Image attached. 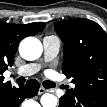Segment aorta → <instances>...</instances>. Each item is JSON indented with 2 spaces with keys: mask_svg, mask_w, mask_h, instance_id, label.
<instances>
[{
  "mask_svg": "<svg viewBox=\"0 0 107 107\" xmlns=\"http://www.w3.org/2000/svg\"><path fill=\"white\" fill-rule=\"evenodd\" d=\"M19 52L21 57L25 60H36L43 52L42 43L34 37L25 38L20 43ZM40 102L43 107H56L58 99L53 94L45 93L41 96Z\"/></svg>",
  "mask_w": 107,
  "mask_h": 107,
  "instance_id": "obj_1",
  "label": "aorta"
}]
</instances>
